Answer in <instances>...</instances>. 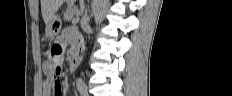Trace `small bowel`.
Segmentation results:
<instances>
[{"label": "small bowel", "mask_w": 232, "mask_h": 96, "mask_svg": "<svg viewBox=\"0 0 232 96\" xmlns=\"http://www.w3.org/2000/svg\"><path fill=\"white\" fill-rule=\"evenodd\" d=\"M81 33V30L68 29L65 31L63 36L56 39L55 44L60 45L63 49L67 41H69L72 45L83 43V38H78L77 36L81 35ZM48 66V64H44V69L49 71L50 68ZM62 85L63 82L56 80L53 76L47 77L41 85V96H64V94L61 93Z\"/></svg>", "instance_id": "small-bowel-1"}]
</instances>
